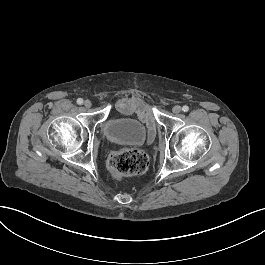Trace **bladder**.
<instances>
[{"instance_id":"31cf9c89","label":"bladder","mask_w":265,"mask_h":265,"mask_svg":"<svg viewBox=\"0 0 265 265\" xmlns=\"http://www.w3.org/2000/svg\"><path fill=\"white\" fill-rule=\"evenodd\" d=\"M104 134L114 143L139 145L146 139V128L135 119L112 117L105 122Z\"/></svg>"}]
</instances>
